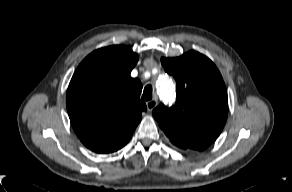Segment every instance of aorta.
Returning a JSON list of instances; mask_svg holds the SVG:
<instances>
[{
	"label": "aorta",
	"mask_w": 292,
	"mask_h": 192,
	"mask_svg": "<svg viewBox=\"0 0 292 192\" xmlns=\"http://www.w3.org/2000/svg\"><path fill=\"white\" fill-rule=\"evenodd\" d=\"M158 92L160 96L166 101L171 100L173 98L174 88L169 78L164 77L163 79L160 80L158 85Z\"/></svg>",
	"instance_id": "obj_1"
}]
</instances>
